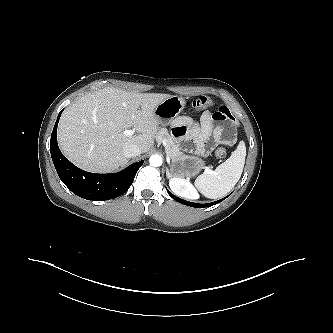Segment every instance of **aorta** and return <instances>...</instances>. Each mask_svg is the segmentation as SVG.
Returning a JSON list of instances; mask_svg holds the SVG:
<instances>
[{
	"mask_svg": "<svg viewBox=\"0 0 333 333\" xmlns=\"http://www.w3.org/2000/svg\"><path fill=\"white\" fill-rule=\"evenodd\" d=\"M149 162L151 166L159 167L162 164V157L160 155H152Z\"/></svg>",
	"mask_w": 333,
	"mask_h": 333,
	"instance_id": "1",
	"label": "aorta"
}]
</instances>
